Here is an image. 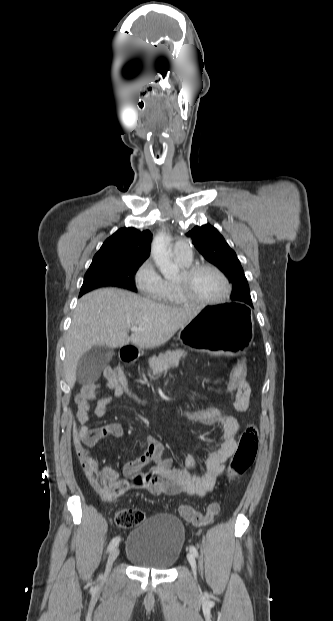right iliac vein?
<instances>
[{"instance_id":"right-iliac-vein-1","label":"right iliac vein","mask_w":333,"mask_h":621,"mask_svg":"<svg viewBox=\"0 0 333 621\" xmlns=\"http://www.w3.org/2000/svg\"><path fill=\"white\" fill-rule=\"evenodd\" d=\"M118 555H119V548L118 547L114 548L110 552V554L108 556V559H107V563H106L105 577H107L109 575V573H110V571L112 569L113 563L116 560V558L118 557Z\"/></svg>"}]
</instances>
